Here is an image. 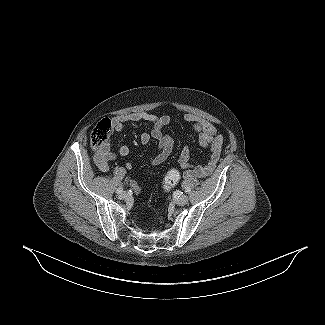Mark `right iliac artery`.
I'll use <instances>...</instances> for the list:
<instances>
[{
	"mask_svg": "<svg viewBox=\"0 0 325 325\" xmlns=\"http://www.w3.org/2000/svg\"><path fill=\"white\" fill-rule=\"evenodd\" d=\"M123 192V187H119L117 190H116V193L117 194H121Z\"/></svg>",
	"mask_w": 325,
	"mask_h": 325,
	"instance_id": "obj_1",
	"label": "right iliac artery"
}]
</instances>
